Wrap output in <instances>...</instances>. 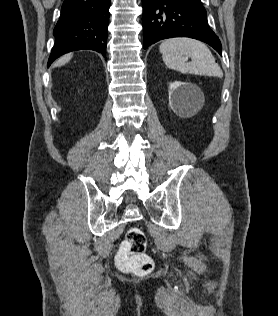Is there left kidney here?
Instances as JSON below:
<instances>
[{
	"label": "left kidney",
	"mask_w": 278,
	"mask_h": 316,
	"mask_svg": "<svg viewBox=\"0 0 278 316\" xmlns=\"http://www.w3.org/2000/svg\"><path fill=\"white\" fill-rule=\"evenodd\" d=\"M201 102V90L192 83L175 81L169 84V105L177 112L196 107Z\"/></svg>",
	"instance_id": "5707ae66"
}]
</instances>
